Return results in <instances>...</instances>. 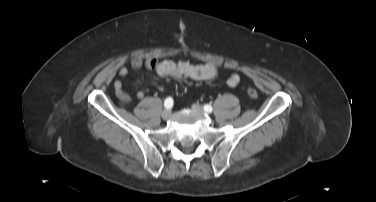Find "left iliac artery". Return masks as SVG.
Segmentation results:
<instances>
[{
  "label": "left iliac artery",
  "instance_id": "left-iliac-artery-1",
  "mask_svg": "<svg viewBox=\"0 0 376 202\" xmlns=\"http://www.w3.org/2000/svg\"><path fill=\"white\" fill-rule=\"evenodd\" d=\"M203 108H204V111L207 113H211L213 111L212 106L208 104L204 105Z\"/></svg>",
  "mask_w": 376,
  "mask_h": 202
}]
</instances>
